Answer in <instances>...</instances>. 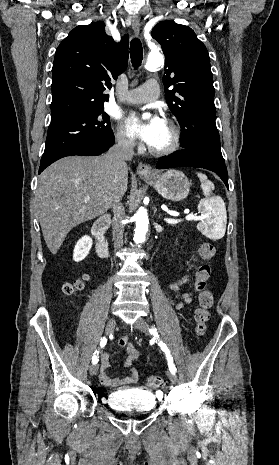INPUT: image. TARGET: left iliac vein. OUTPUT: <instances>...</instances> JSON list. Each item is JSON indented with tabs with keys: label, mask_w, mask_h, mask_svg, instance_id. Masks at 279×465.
I'll use <instances>...</instances> for the list:
<instances>
[{
	"label": "left iliac vein",
	"mask_w": 279,
	"mask_h": 465,
	"mask_svg": "<svg viewBox=\"0 0 279 465\" xmlns=\"http://www.w3.org/2000/svg\"><path fill=\"white\" fill-rule=\"evenodd\" d=\"M134 325L138 330L149 334V324L143 318L137 319ZM168 377L172 384L177 382V376L174 373L169 372Z\"/></svg>",
	"instance_id": "obj_1"
}]
</instances>
